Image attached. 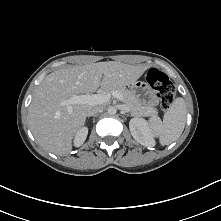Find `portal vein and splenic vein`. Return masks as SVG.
Returning <instances> with one entry per match:
<instances>
[{
	"instance_id": "portal-vein-and-splenic-vein-1",
	"label": "portal vein and splenic vein",
	"mask_w": 221,
	"mask_h": 221,
	"mask_svg": "<svg viewBox=\"0 0 221 221\" xmlns=\"http://www.w3.org/2000/svg\"><path fill=\"white\" fill-rule=\"evenodd\" d=\"M114 97L122 101L123 96L118 91H113L112 93L94 94V95H76L70 99L63 101L62 104L68 106V112H72V104H89V105H99L106 103L110 98Z\"/></svg>"
}]
</instances>
